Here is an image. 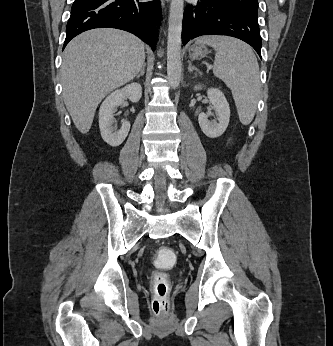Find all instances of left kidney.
Returning a JSON list of instances; mask_svg holds the SVG:
<instances>
[{
  "mask_svg": "<svg viewBox=\"0 0 333 346\" xmlns=\"http://www.w3.org/2000/svg\"><path fill=\"white\" fill-rule=\"evenodd\" d=\"M200 85L195 86L194 90H199ZM208 98L212 104V108L216 112L217 120L209 121V114L200 113L198 122L203 133L209 138H217L221 136L229 124L230 107L224 93L217 88L207 90Z\"/></svg>",
  "mask_w": 333,
  "mask_h": 346,
  "instance_id": "obj_1",
  "label": "left kidney"
}]
</instances>
